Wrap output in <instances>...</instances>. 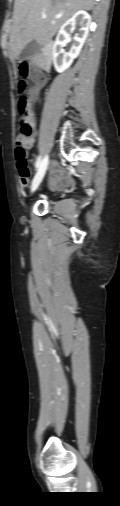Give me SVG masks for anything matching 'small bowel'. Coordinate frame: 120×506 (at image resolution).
Wrapping results in <instances>:
<instances>
[{"instance_id": "small-bowel-1", "label": "small bowel", "mask_w": 120, "mask_h": 506, "mask_svg": "<svg viewBox=\"0 0 120 506\" xmlns=\"http://www.w3.org/2000/svg\"><path fill=\"white\" fill-rule=\"evenodd\" d=\"M30 78L33 81V86L29 91V97L31 101H37L39 99L42 89L45 87L47 83V76L43 73L37 72L36 70H32L30 73ZM32 120H34L33 115ZM21 180L22 184L24 186H27L29 183V176L26 178L21 177ZM71 183H72L71 179L67 176L66 172L57 165H53L51 173L52 186L64 188L70 186Z\"/></svg>"}]
</instances>
